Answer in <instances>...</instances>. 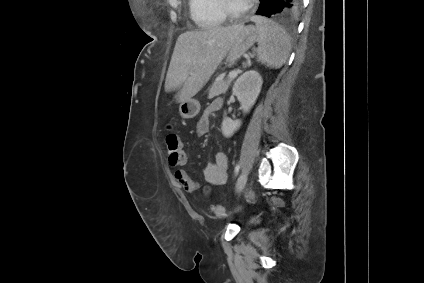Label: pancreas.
I'll use <instances>...</instances> for the list:
<instances>
[{"label":"pancreas","mask_w":424,"mask_h":283,"mask_svg":"<svg viewBox=\"0 0 424 283\" xmlns=\"http://www.w3.org/2000/svg\"><path fill=\"white\" fill-rule=\"evenodd\" d=\"M232 81V78L224 80L223 78H217L209 89L208 98L212 99L225 93Z\"/></svg>","instance_id":"obj_1"}]
</instances>
